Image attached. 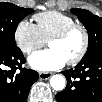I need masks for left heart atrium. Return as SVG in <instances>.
Returning a JSON list of instances; mask_svg holds the SVG:
<instances>
[{
  "instance_id": "1",
  "label": "left heart atrium",
  "mask_w": 102,
  "mask_h": 102,
  "mask_svg": "<svg viewBox=\"0 0 102 102\" xmlns=\"http://www.w3.org/2000/svg\"><path fill=\"white\" fill-rule=\"evenodd\" d=\"M65 63V59L53 49L37 51L29 57L31 67L41 72L58 70Z\"/></svg>"
}]
</instances>
